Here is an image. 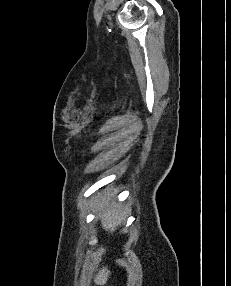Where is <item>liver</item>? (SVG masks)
<instances>
[{
    "mask_svg": "<svg viewBox=\"0 0 231 286\" xmlns=\"http://www.w3.org/2000/svg\"><path fill=\"white\" fill-rule=\"evenodd\" d=\"M105 207V210H102ZM98 208L102 210L101 212V223L106 231L111 233L116 230V228L121 225L125 218V210L120 208L118 205L112 203V199L108 197L99 203ZM110 275V270L107 267L100 270L95 276L94 280L97 284L103 285L107 282Z\"/></svg>",
    "mask_w": 231,
    "mask_h": 286,
    "instance_id": "6515ba94",
    "label": "liver"
}]
</instances>
